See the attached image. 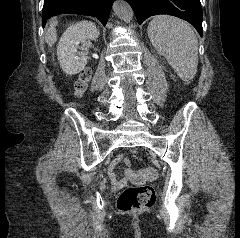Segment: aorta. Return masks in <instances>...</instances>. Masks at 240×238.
Masks as SVG:
<instances>
[{
	"mask_svg": "<svg viewBox=\"0 0 240 238\" xmlns=\"http://www.w3.org/2000/svg\"><path fill=\"white\" fill-rule=\"evenodd\" d=\"M114 13L123 21L130 22L133 18V10L125 0H116L113 3Z\"/></svg>",
	"mask_w": 240,
	"mask_h": 238,
	"instance_id": "1",
	"label": "aorta"
}]
</instances>
